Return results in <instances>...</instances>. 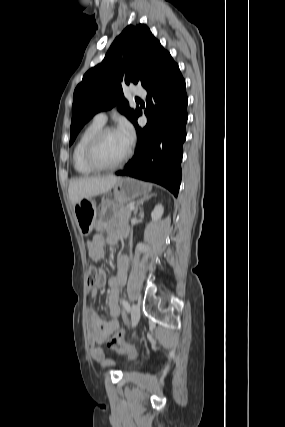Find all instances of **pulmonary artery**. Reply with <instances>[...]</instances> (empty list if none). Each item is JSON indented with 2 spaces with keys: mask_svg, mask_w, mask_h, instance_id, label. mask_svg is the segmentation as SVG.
I'll return each mask as SVG.
<instances>
[{
  "mask_svg": "<svg viewBox=\"0 0 285 427\" xmlns=\"http://www.w3.org/2000/svg\"><path fill=\"white\" fill-rule=\"evenodd\" d=\"M132 95L136 97H145L146 96V90L144 87L135 85L132 89ZM94 120L105 123L107 120V115L105 112H99L94 116Z\"/></svg>",
  "mask_w": 285,
  "mask_h": 427,
  "instance_id": "obj_1",
  "label": "pulmonary artery"
}]
</instances>
